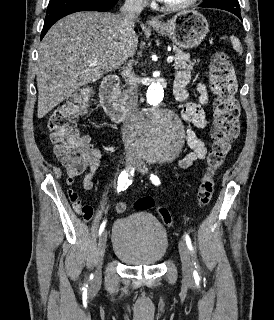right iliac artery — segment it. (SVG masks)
I'll use <instances>...</instances> for the list:
<instances>
[{"label": "right iliac artery", "mask_w": 274, "mask_h": 320, "mask_svg": "<svg viewBox=\"0 0 274 320\" xmlns=\"http://www.w3.org/2000/svg\"><path fill=\"white\" fill-rule=\"evenodd\" d=\"M134 175V169L129 171H122L118 178V192L122 190H126L128 186L131 184V178ZM106 225V220L102 222L100 229H99V236L102 234Z\"/></svg>", "instance_id": "right-iliac-artery-1"}]
</instances>
